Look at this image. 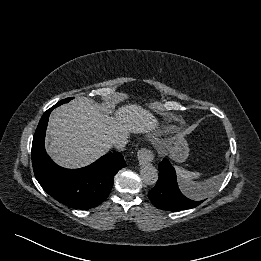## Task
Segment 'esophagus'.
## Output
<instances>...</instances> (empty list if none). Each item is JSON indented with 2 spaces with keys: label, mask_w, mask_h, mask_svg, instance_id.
<instances>
[{
  "label": "esophagus",
  "mask_w": 261,
  "mask_h": 261,
  "mask_svg": "<svg viewBox=\"0 0 261 261\" xmlns=\"http://www.w3.org/2000/svg\"><path fill=\"white\" fill-rule=\"evenodd\" d=\"M137 159L139 164H146L151 162L154 159V154L153 152L148 149V148H141L138 152H137Z\"/></svg>",
  "instance_id": "34e87169"
}]
</instances>
